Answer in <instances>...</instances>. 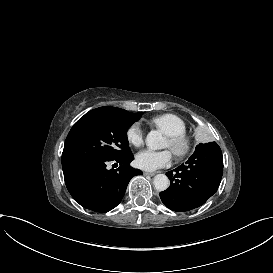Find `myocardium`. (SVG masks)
I'll return each mask as SVG.
<instances>
[{
  "instance_id": "f54148a6",
  "label": "myocardium",
  "mask_w": 273,
  "mask_h": 273,
  "mask_svg": "<svg viewBox=\"0 0 273 273\" xmlns=\"http://www.w3.org/2000/svg\"><path fill=\"white\" fill-rule=\"evenodd\" d=\"M168 139L170 141V148L177 156H184L189 151L190 141L184 134H169Z\"/></svg>"
}]
</instances>
